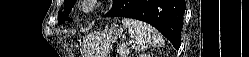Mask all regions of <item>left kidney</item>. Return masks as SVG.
<instances>
[{
	"label": "left kidney",
	"instance_id": "obj_1",
	"mask_svg": "<svg viewBox=\"0 0 249 57\" xmlns=\"http://www.w3.org/2000/svg\"><path fill=\"white\" fill-rule=\"evenodd\" d=\"M139 57H151V56L147 55V54H141V55H139Z\"/></svg>",
	"mask_w": 249,
	"mask_h": 57
}]
</instances>
